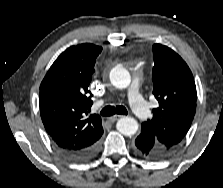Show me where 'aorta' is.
Masks as SVG:
<instances>
[{
  "mask_svg": "<svg viewBox=\"0 0 223 188\" xmlns=\"http://www.w3.org/2000/svg\"><path fill=\"white\" fill-rule=\"evenodd\" d=\"M110 81L116 88L125 89L131 83V76L125 68L116 66L110 71ZM138 127V122L132 117H123L116 124L117 130L125 136L134 135Z\"/></svg>",
  "mask_w": 223,
  "mask_h": 188,
  "instance_id": "762f6f07",
  "label": "aorta"
}]
</instances>
